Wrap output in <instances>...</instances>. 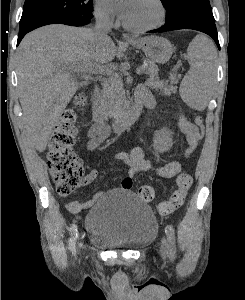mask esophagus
Here are the masks:
<instances>
[{
  "label": "esophagus",
  "mask_w": 245,
  "mask_h": 300,
  "mask_svg": "<svg viewBox=\"0 0 245 300\" xmlns=\"http://www.w3.org/2000/svg\"><path fill=\"white\" fill-rule=\"evenodd\" d=\"M122 39L125 41H131L132 37L129 34L123 33L122 34Z\"/></svg>",
  "instance_id": "1"
}]
</instances>
